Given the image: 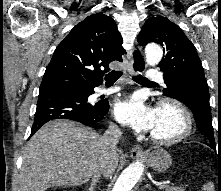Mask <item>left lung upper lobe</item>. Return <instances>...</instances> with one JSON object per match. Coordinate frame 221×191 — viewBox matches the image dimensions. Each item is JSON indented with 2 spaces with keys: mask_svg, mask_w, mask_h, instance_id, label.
<instances>
[{
  "mask_svg": "<svg viewBox=\"0 0 221 191\" xmlns=\"http://www.w3.org/2000/svg\"><path fill=\"white\" fill-rule=\"evenodd\" d=\"M137 39L142 45L155 42L162 46L165 55L159 66L167 86L163 89L164 95L183 102L192 110L190 89L197 83L207 84L195 46L176 24L163 16L147 19ZM207 120H198L197 128L207 140L206 144L215 149L212 119Z\"/></svg>",
  "mask_w": 221,
  "mask_h": 191,
  "instance_id": "1",
  "label": "left lung upper lobe"
}]
</instances>
